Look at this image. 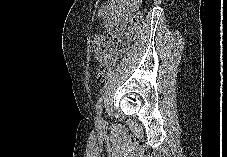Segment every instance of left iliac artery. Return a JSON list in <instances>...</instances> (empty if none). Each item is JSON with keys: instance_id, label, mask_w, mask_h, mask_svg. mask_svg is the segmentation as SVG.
Segmentation results:
<instances>
[{"instance_id": "44dca946", "label": "left iliac artery", "mask_w": 227, "mask_h": 157, "mask_svg": "<svg viewBox=\"0 0 227 157\" xmlns=\"http://www.w3.org/2000/svg\"><path fill=\"white\" fill-rule=\"evenodd\" d=\"M102 101H103V96H101L96 104V113H97V118L101 119V112H102Z\"/></svg>"}]
</instances>
